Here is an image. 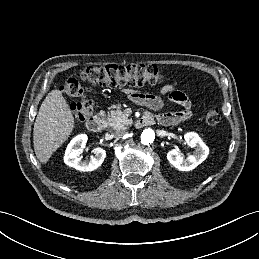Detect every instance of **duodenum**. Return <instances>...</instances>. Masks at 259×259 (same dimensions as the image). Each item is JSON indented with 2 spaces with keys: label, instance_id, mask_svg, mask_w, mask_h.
Here are the masks:
<instances>
[{
  "label": "duodenum",
  "instance_id": "duodenum-1",
  "mask_svg": "<svg viewBox=\"0 0 259 259\" xmlns=\"http://www.w3.org/2000/svg\"><path fill=\"white\" fill-rule=\"evenodd\" d=\"M153 122V117L150 114H144L139 121L137 122L136 126L141 128L143 126H147ZM105 126V120L100 116H93L86 121V127L89 131L98 133L103 130Z\"/></svg>",
  "mask_w": 259,
  "mask_h": 259
}]
</instances>
